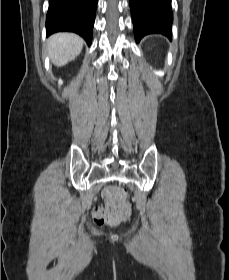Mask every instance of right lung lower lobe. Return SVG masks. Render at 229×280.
<instances>
[{
	"label": "right lung lower lobe",
	"instance_id": "obj_1",
	"mask_svg": "<svg viewBox=\"0 0 229 280\" xmlns=\"http://www.w3.org/2000/svg\"><path fill=\"white\" fill-rule=\"evenodd\" d=\"M97 0H49L46 34L69 31L92 41Z\"/></svg>",
	"mask_w": 229,
	"mask_h": 280
}]
</instances>
